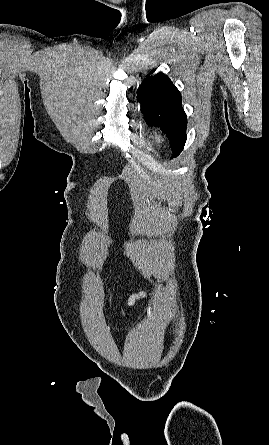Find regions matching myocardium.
Here are the masks:
<instances>
[{"label":"myocardium","instance_id":"f54148a6","mask_svg":"<svg viewBox=\"0 0 269 445\" xmlns=\"http://www.w3.org/2000/svg\"><path fill=\"white\" fill-rule=\"evenodd\" d=\"M154 138L158 144H164L166 141V136L162 132H157Z\"/></svg>","mask_w":269,"mask_h":445}]
</instances>
